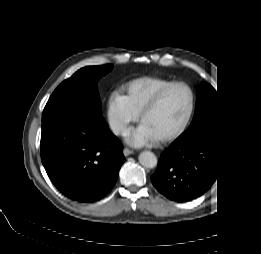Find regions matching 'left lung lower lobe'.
Here are the masks:
<instances>
[{"mask_svg":"<svg viewBox=\"0 0 261 254\" xmlns=\"http://www.w3.org/2000/svg\"><path fill=\"white\" fill-rule=\"evenodd\" d=\"M229 135L212 129L197 136L181 135L163 152L152 184L170 200L189 201L206 192L228 154Z\"/></svg>","mask_w":261,"mask_h":254,"instance_id":"0a47b994","label":"left lung lower lobe"}]
</instances>
